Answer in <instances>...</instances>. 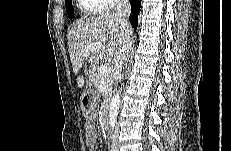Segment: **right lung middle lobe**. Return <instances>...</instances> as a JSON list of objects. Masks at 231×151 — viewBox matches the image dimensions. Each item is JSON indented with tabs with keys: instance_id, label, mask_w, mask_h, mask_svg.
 <instances>
[{
	"instance_id": "dd1d6c3e",
	"label": "right lung middle lobe",
	"mask_w": 231,
	"mask_h": 151,
	"mask_svg": "<svg viewBox=\"0 0 231 151\" xmlns=\"http://www.w3.org/2000/svg\"><path fill=\"white\" fill-rule=\"evenodd\" d=\"M65 6H66V11H67L68 17L70 19H72L73 14H74L73 6H72V0H69L68 2H65Z\"/></svg>"
}]
</instances>
